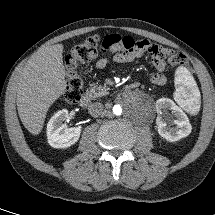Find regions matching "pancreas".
<instances>
[{"label":"pancreas","instance_id":"obj_1","mask_svg":"<svg viewBox=\"0 0 215 215\" xmlns=\"http://www.w3.org/2000/svg\"><path fill=\"white\" fill-rule=\"evenodd\" d=\"M109 93V88L106 86H99L91 84V87L87 90V94L92 98H98L101 96H105Z\"/></svg>","mask_w":215,"mask_h":215}]
</instances>
